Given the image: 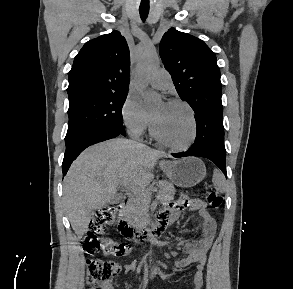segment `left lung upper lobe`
Instances as JSON below:
<instances>
[{
	"mask_svg": "<svg viewBox=\"0 0 293 289\" xmlns=\"http://www.w3.org/2000/svg\"><path fill=\"white\" fill-rule=\"evenodd\" d=\"M159 53L177 93L191 106L195 117L204 114L223 117L222 85L215 53L202 40L174 28L163 35Z\"/></svg>",
	"mask_w": 293,
	"mask_h": 289,
	"instance_id": "obj_1",
	"label": "left lung upper lobe"
}]
</instances>
